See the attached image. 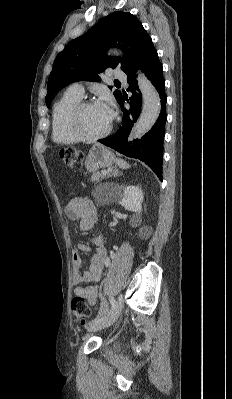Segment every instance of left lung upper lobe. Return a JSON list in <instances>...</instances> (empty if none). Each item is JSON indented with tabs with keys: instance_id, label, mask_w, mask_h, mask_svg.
Segmentation results:
<instances>
[{
	"instance_id": "left-lung-upper-lobe-1",
	"label": "left lung upper lobe",
	"mask_w": 232,
	"mask_h": 399,
	"mask_svg": "<svg viewBox=\"0 0 232 399\" xmlns=\"http://www.w3.org/2000/svg\"><path fill=\"white\" fill-rule=\"evenodd\" d=\"M151 40L140 21L128 12H113L103 17L84 35L70 41L55 59L48 79L46 105L55 94L70 83L86 80L100 81L98 73L120 66L127 73L138 53ZM119 47L123 57H109L106 50ZM112 89V86H109ZM119 102L122 93L114 91Z\"/></svg>"
}]
</instances>
